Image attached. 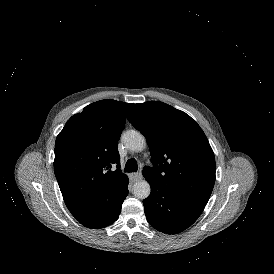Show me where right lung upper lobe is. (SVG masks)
Instances as JSON below:
<instances>
[{
    "mask_svg": "<svg viewBox=\"0 0 274 274\" xmlns=\"http://www.w3.org/2000/svg\"><path fill=\"white\" fill-rule=\"evenodd\" d=\"M132 106L111 99L94 102L73 115L56 138L55 176L79 222L99 218L128 183L117 145Z\"/></svg>",
    "mask_w": 274,
    "mask_h": 274,
    "instance_id": "1",
    "label": "right lung upper lobe"
}]
</instances>
